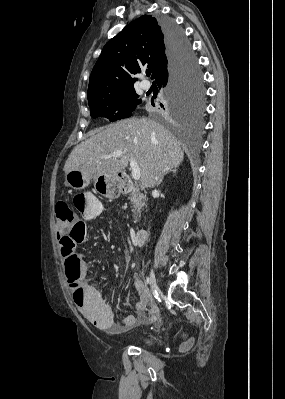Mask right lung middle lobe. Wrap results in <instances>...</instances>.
I'll return each instance as SVG.
<instances>
[{
  "label": "right lung middle lobe",
  "instance_id": "1",
  "mask_svg": "<svg viewBox=\"0 0 285 399\" xmlns=\"http://www.w3.org/2000/svg\"><path fill=\"white\" fill-rule=\"evenodd\" d=\"M134 88L121 93L98 97L88 101L91 117H105L111 122L128 118L142 102L138 99ZM163 107V106H161ZM203 109V87L201 75L193 56L183 78L171 89L166 91L165 108L157 111L163 115H170L179 121L185 122L197 118Z\"/></svg>",
  "mask_w": 285,
  "mask_h": 399
}]
</instances>
